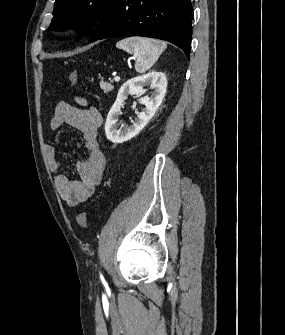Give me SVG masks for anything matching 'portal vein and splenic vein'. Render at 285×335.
I'll return each mask as SVG.
<instances>
[{"label": "portal vein and splenic vein", "mask_w": 285, "mask_h": 335, "mask_svg": "<svg viewBox=\"0 0 285 335\" xmlns=\"http://www.w3.org/2000/svg\"><path fill=\"white\" fill-rule=\"evenodd\" d=\"M114 80H115V82H120L119 76H115Z\"/></svg>", "instance_id": "18ae733b"}]
</instances>
